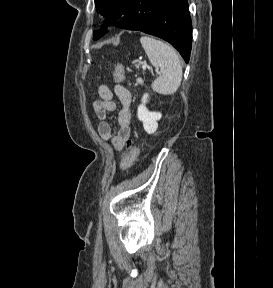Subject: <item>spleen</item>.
Returning a JSON list of instances; mask_svg holds the SVG:
<instances>
[{
	"instance_id": "spleen-1",
	"label": "spleen",
	"mask_w": 273,
	"mask_h": 288,
	"mask_svg": "<svg viewBox=\"0 0 273 288\" xmlns=\"http://www.w3.org/2000/svg\"><path fill=\"white\" fill-rule=\"evenodd\" d=\"M140 42L151 64L160 68L152 89L162 95L174 94L182 81V66L176 51L167 43L149 36H142ZM137 81L143 84L142 79Z\"/></svg>"
}]
</instances>
